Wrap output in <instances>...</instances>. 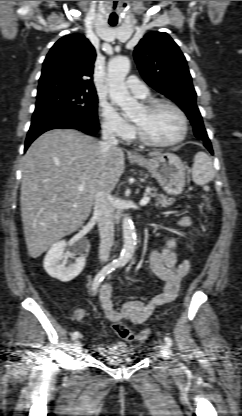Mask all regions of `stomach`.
I'll return each mask as SVG.
<instances>
[{
    "mask_svg": "<svg viewBox=\"0 0 242 416\" xmlns=\"http://www.w3.org/2000/svg\"><path fill=\"white\" fill-rule=\"evenodd\" d=\"M132 162L149 170L166 193L178 195L183 191L186 171L177 155L164 153L151 159L133 158Z\"/></svg>",
    "mask_w": 242,
    "mask_h": 416,
    "instance_id": "0dacf381",
    "label": "stomach"
}]
</instances>
